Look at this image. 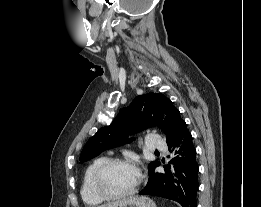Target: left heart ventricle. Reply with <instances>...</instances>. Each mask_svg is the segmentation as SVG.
I'll list each match as a JSON object with an SVG mask.
<instances>
[{"label":"left heart ventricle","mask_w":261,"mask_h":207,"mask_svg":"<svg viewBox=\"0 0 261 207\" xmlns=\"http://www.w3.org/2000/svg\"><path fill=\"white\" fill-rule=\"evenodd\" d=\"M138 178L137 170L130 165H117L112 167L104 177L105 188L114 194L130 190Z\"/></svg>","instance_id":"obj_1"}]
</instances>
